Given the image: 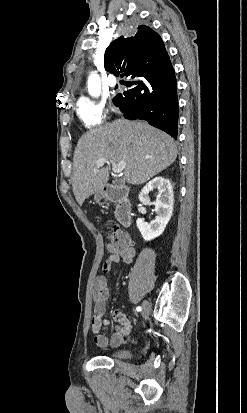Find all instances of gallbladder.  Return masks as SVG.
I'll use <instances>...</instances> for the list:
<instances>
[{
	"mask_svg": "<svg viewBox=\"0 0 247 413\" xmlns=\"http://www.w3.org/2000/svg\"><path fill=\"white\" fill-rule=\"evenodd\" d=\"M114 184H117V180H114Z\"/></svg>",
	"mask_w": 247,
	"mask_h": 413,
	"instance_id": "1",
	"label": "gallbladder"
}]
</instances>
